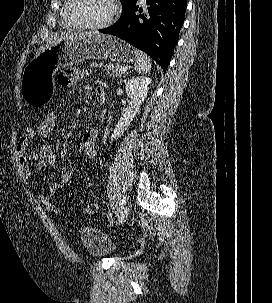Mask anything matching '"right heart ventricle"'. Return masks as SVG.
Segmentation results:
<instances>
[{
    "label": "right heart ventricle",
    "mask_w": 272,
    "mask_h": 303,
    "mask_svg": "<svg viewBox=\"0 0 272 303\" xmlns=\"http://www.w3.org/2000/svg\"><path fill=\"white\" fill-rule=\"evenodd\" d=\"M64 7H65V5H64ZM64 7H63V9L61 11V21H60V23H61V26L63 28H71V26L64 19V15H63V13H64Z\"/></svg>",
    "instance_id": "e07e8e85"
}]
</instances>
